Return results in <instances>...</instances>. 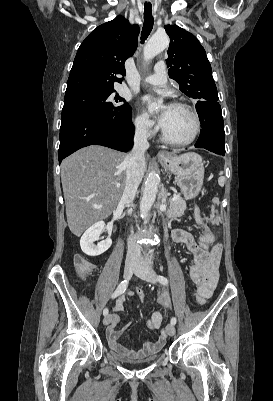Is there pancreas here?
<instances>
[{
	"label": "pancreas",
	"mask_w": 273,
	"mask_h": 401,
	"mask_svg": "<svg viewBox=\"0 0 273 401\" xmlns=\"http://www.w3.org/2000/svg\"><path fill=\"white\" fill-rule=\"evenodd\" d=\"M168 201L169 209H167V217L168 219H175V217H182L184 215V211H186V201H184V198L180 196V198L175 201L174 203H171Z\"/></svg>",
	"instance_id": "pancreas-1"
}]
</instances>
